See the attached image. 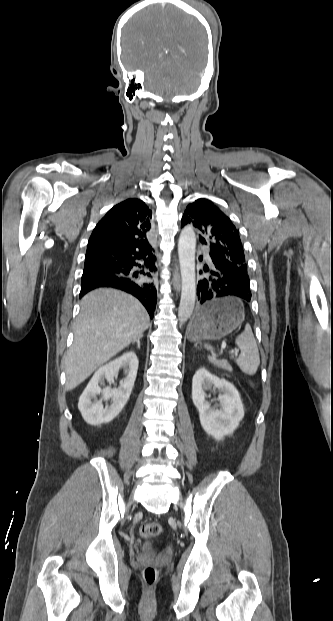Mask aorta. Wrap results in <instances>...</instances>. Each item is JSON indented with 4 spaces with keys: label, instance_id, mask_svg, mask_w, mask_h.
Wrapping results in <instances>:
<instances>
[{
    "label": "aorta",
    "instance_id": "1",
    "mask_svg": "<svg viewBox=\"0 0 333 621\" xmlns=\"http://www.w3.org/2000/svg\"><path fill=\"white\" fill-rule=\"evenodd\" d=\"M195 252V232L191 226H186L181 231L178 243V256L182 278V290L180 305L178 309V319L181 324L185 323L190 318L195 306Z\"/></svg>",
    "mask_w": 333,
    "mask_h": 621
}]
</instances>
